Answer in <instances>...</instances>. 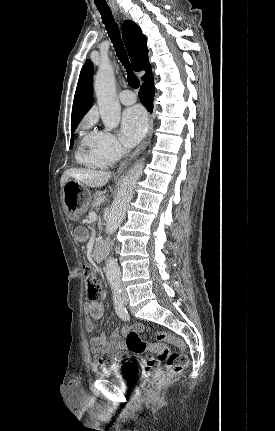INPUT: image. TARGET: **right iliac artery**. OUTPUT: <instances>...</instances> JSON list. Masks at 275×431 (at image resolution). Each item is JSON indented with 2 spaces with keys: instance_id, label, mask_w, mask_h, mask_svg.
Here are the masks:
<instances>
[{
  "instance_id": "1",
  "label": "right iliac artery",
  "mask_w": 275,
  "mask_h": 431,
  "mask_svg": "<svg viewBox=\"0 0 275 431\" xmlns=\"http://www.w3.org/2000/svg\"><path fill=\"white\" fill-rule=\"evenodd\" d=\"M112 290H113V300H114V306H115V310L117 315L122 319V320H129V314L123 304V300L120 296V288L118 284H113L112 285Z\"/></svg>"
}]
</instances>
